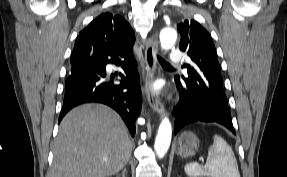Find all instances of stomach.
<instances>
[{"mask_svg":"<svg viewBox=\"0 0 287 177\" xmlns=\"http://www.w3.org/2000/svg\"><path fill=\"white\" fill-rule=\"evenodd\" d=\"M200 144L199 138L191 131H184L178 138L177 154L189 158L196 154Z\"/></svg>","mask_w":287,"mask_h":177,"instance_id":"0dacf381","label":"stomach"}]
</instances>
